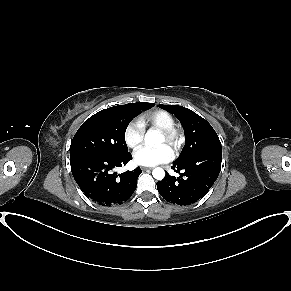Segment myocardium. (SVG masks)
<instances>
[{
  "label": "myocardium",
  "instance_id": "f54148a6",
  "mask_svg": "<svg viewBox=\"0 0 291 291\" xmlns=\"http://www.w3.org/2000/svg\"><path fill=\"white\" fill-rule=\"evenodd\" d=\"M161 134L164 136L165 142L174 150H177L182 144L183 133L176 126L162 129Z\"/></svg>",
  "mask_w": 291,
  "mask_h": 291
}]
</instances>
